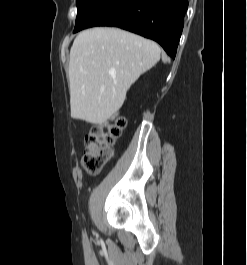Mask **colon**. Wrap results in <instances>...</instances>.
Here are the masks:
<instances>
[{
	"mask_svg": "<svg viewBox=\"0 0 247 265\" xmlns=\"http://www.w3.org/2000/svg\"><path fill=\"white\" fill-rule=\"evenodd\" d=\"M126 120L118 117L104 129L93 127L86 135V151L83 157L84 169L89 173H98L112 158V146L121 136Z\"/></svg>",
	"mask_w": 247,
	"mask_h": 265,
	"instance_id": "obj_1",
	"label": "colon"
}]
</instances>
